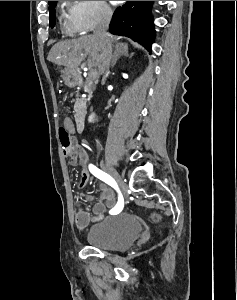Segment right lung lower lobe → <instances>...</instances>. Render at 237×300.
<instances>
[{"label":"right lung lower lobe","mask_w":237,"mask_h":300,"mask_svg":"<svg viewBox=\"0 0 237 300\" xmlns=\"http://www.w3.org/2000/svg\"><path fill=\"white\" fill-rule=\"evenodd\" d=\"M152 1H128L118 7L110 23L109 31L138 41L148 50L154 42L155 30L150 15Z\"/></svg>","instance_id":"obj_1"}]
</instances>
